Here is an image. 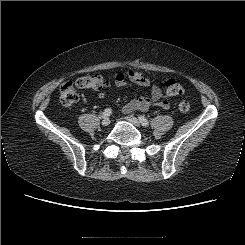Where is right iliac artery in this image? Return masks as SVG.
I'll list each match as a JSON object with an SVG mask.
<instances>
[{"mask_svg":"<svg viewBox=\"0 0 245 245\" xmlns=\"http://www.w3.org/2000/svg\"><path fill=\"white\" fill-rule=\"evenodd\" d=\"M111 113H112V109L111 108H107V109L104 110V112L102 114V117L103 118H107V117H109L111 115Z\"/></svg>","mask_w":245,"mask_h":245,"instance_id":"82829eb1","label":"right iliac artery"}]
</instances>
